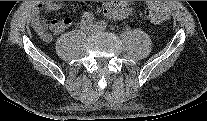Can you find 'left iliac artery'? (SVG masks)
I'll list each match as a JSON object with an SVG mask.
<instances>
[{
	"label": "left iliac artery",
	"mask_w": 207,
	"mask_h": 121,
	"mask_svg": "<svg viewBox=\"0 0 207 121\" xmlns=\"http://www.w3.org/2000/svg\"><path fill=\"white\" fill-rule=\"evenodd\" d=\"M97 24L102 29H106V27H107V24L104 21H99Z\"/></svg>",
	"instance_id": "44dca946"
}]
</instances>
